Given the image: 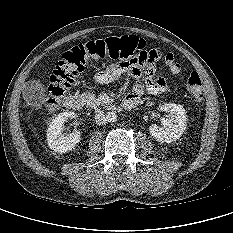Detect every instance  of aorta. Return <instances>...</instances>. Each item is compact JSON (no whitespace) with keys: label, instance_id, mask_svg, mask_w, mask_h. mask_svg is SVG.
Masks as SVG:
<instances>
[{"label":"aorta","instance_id":"1","mask_svg":"<svg viewBox=\"0 0 233 233\" xmlns=\"http://www.w3.org/2000/svg\"><path fill=\"white\" fill-rule=\"evenodd\" d=\"M106 117H107V121H108V122L114 123V122H116L117 119H118V114H117V112H115V111H109V112H107Z\"/></svg>","mask_w":233,"mask_h":233}]
</instances>
